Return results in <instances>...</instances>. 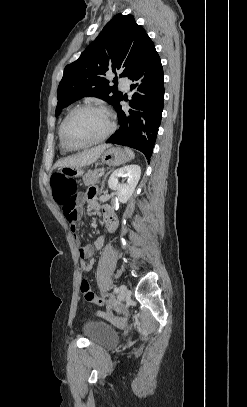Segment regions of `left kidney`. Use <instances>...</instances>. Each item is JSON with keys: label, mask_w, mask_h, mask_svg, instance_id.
Here are the masks:
<instances>
[{"label": "left kidney", "mask_w": 247, "mask_h": 407, "mask_svg": "<svg viewBox=\"0 0 247 407\" xmlns=\"http://www.w3.org/2000/svg\"><path fill=\"white\" fill-rule=\"evenodd\" d=\"M141 176L139 165H127L116 169L110 176L108 186L117 192L118 199L121 203H126L135 191ZM126 177V183H120L119 178Z\"/></svg>", "instance_id": "left-kidney-1"}]
</instances>
